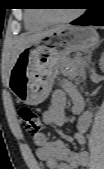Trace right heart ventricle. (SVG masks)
I'll list each match as a JSON object with an SVG mask.
<instances>
[{"label":"right heart ventricle","mask_w":104,"mask_h":169,"mask_svg":"<svg viewBox=\"0 0 104 169\" xmlns=\"http://www.w3.org/2000/svg\"><path fill=\"white\" fill-rule=\"evenodd\" d=\"M25 24L29 30H38L48 25L36 12H28L25 15Z\"/></svg>","instance_id":"right-heart-ventricle-1"}]
</instances>
